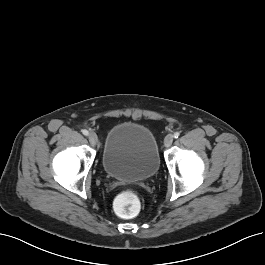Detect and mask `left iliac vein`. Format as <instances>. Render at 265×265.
I'll return each mask as SVG.
<instances>
[{
    "instance_id": "left-iliac-vein-1",
    "label": "left iliac vein",
    "mask_w": 265,
    "mask_h": 265,
    "mask_svg": "<svg viewBox=\"0 0 265 265\" xmlns=\"http://www.w3.org/2000/svg\"><path fill=\"white\" fill-rule=\"evenodd\" d=\"M174 136L172 134H168L164 139V146L169 147L173 142Z\"/></svg>"
}]
</instances>
